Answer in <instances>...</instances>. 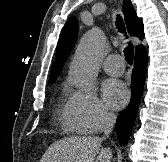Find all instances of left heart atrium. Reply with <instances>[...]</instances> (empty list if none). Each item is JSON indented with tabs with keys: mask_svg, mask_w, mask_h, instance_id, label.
<instances>
[{
	"mask_svg": "<svg viewBox=\"0 0 168 162\" xmlns=\"http://www.w3.org/2000/svg\"><path fill=\"white\" fill-rule=\"evenodd\" d=\"M102 93L104 101L111 109H121L129 99L127 87L118 80L109 79L103 84Z\"/></svg>",
	"mask_w": 168,
	"mask_h": 162,
	"instance_id": "left-heart-atrium-1",
	"label": "left heart atrium"
}]
</instances>
